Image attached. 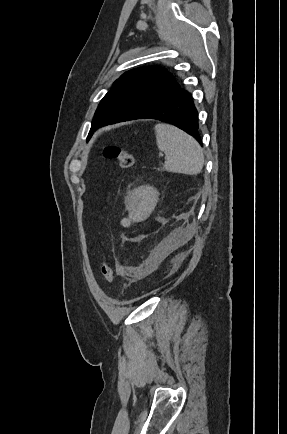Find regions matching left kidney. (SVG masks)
<instances>
[{"label":"left kidney","instance_id":"5707ae66","mask_svg":"<svg viewBox=\"0 0 287 434\" xmlns=\"http://www.w3.org/2000/svg\"><path fill=\"white\" fill-rule=\"evenodd\" d=\"M158 195V191L151 186H140L134 189L128 197L131 215L137 216L144 212L145 214L150 213L157 203Z\"/></svg>","mask_w":287,"mask_h":434}]
</instances>
